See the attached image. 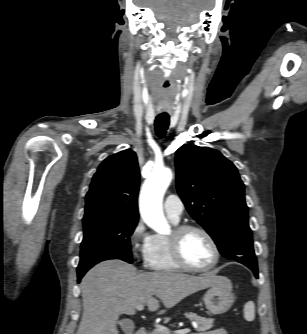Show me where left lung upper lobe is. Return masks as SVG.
<instances>
[{
	"instance_id": "left-lung-upper-lobe-1",
	"label": "left lung upper lobe",
	"mask_w": 307,
	"mask_h": 334,
	"mask_svg": "<svg viewBox=\"0 0 307 334\" xmlns=\"http://www.w3.org/2000/svg\"><path fill=\"white\" fill-rule=\"evenodd\" d=\"M175 165L182 201L220 253L246 266L257 265L244 184L234 164L217 150L185 144L176 151Z\"/></svg>"
}]
</instances>
